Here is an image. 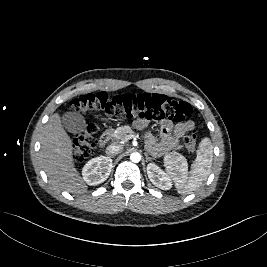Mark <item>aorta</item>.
I'll return each mask as SVG.
<instances>
[{"mask_svg": "<svg viewBox=\"0 0 267 267\" xmlns=\"http://www.w3.org/2000/svg\"><path fill=\"white\" fill-rule=\"evenodd\" d=\"M130 160L134 163H138L141 160V154L138 152H134L130 155Z\"/></svg>", "mask_w": 267, "mask_h": 267, "instance_id": "aorta-1", "label": "aorta"}]
</instances>
